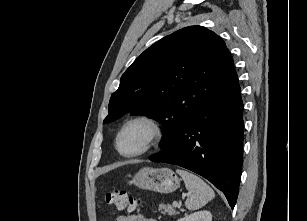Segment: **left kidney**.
I'll return each mask as SVG.
<instances>
[{
    "label": "left kidney",
    "instance_id": "obj_1",
    "mask_svg": "<svg viewBox=\"0 0 307 221\" xmlns=\"http://www.w3.org/2000/svg\"><path fill=\"white\" fill-rule=\"evenodd\" d=\"M177 221H212V214L209 211L203 210L186 215Z\"/></svg>",
    "mask_w": 307,
    "mask_h": 221
}]
</instances>
